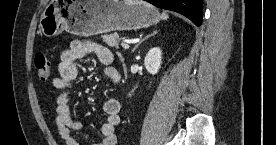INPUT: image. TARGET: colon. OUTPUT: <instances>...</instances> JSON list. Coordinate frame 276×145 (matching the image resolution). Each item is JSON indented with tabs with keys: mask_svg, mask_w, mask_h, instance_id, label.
Instances as JSON below:
<instances>
[{
	"mask_svg": "<svg viewBox=\"0 0 276 145\" xmlns=\"http://www.w3.org/2000/svg\"><path fill=\"white\" fill-rule=\"evenodd\" d=\"M35 68L39 80L46 81L49 79L51 75V64L44 54L38 53L36 55Z\"/></svg>",
	"mask_w": 276,
	"mask_h": 145,
	"instance_id": "1",
	"label": "colon"
}]
</instances>
